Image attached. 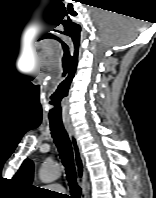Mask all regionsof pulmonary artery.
<instances>
[{"label":"pulmonary artery","instance_id":"obj_1","mask_svg":"<svg viewBox=\"0 0 156 198\" xmlns=\"http://www.w3.org/2000/svg\"><path fill=\"white\" fill-rule=\"evenodd\" d=\"M50 189L55 190V191H59V192L64 191V188L60 185H51Z\"/></svg>","mask_w":156,"mask_h":198}]
</instances>
